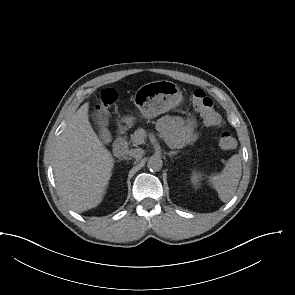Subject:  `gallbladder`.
Masks as SVG:
<instances>
[{
	"instance_id": "obj_1",
	"label": "gallbladder",
	"mask_w": 295,
	"mask_h": 295,
	"mask_svg": "<svg viewBox=\"0 0 295 295\" xmlns=\"http://www.w3.org/2000/svg\"><path fill=\"white\" fill-rule=\"evenodd\" d=\"M93 120L100 126L103 125V111L102 110H98L95 111L92 115Z\"/></svg>"
}]
</instances>
